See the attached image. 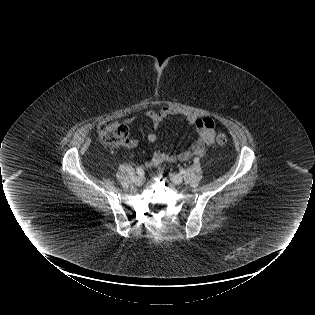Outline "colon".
Returning a JSON list of instances; mask_svg holds the SVG:
<instances>
[{"label":"colon","instance_id":"colon-1","mask_svg":"<svg viewBox=\"0 0 315 315\" xmlns=\"http://www.w3.org/2000/svg\"><path fill=\"white\" fill-rule=\"evenodd\" d=\"M98 134L102 143L111 149L123 147L129 137L128 128L117 121L101 123L98 127ZM215 141L217 145L224 146L227 144L228 138L225 134L220 133L216 136Z\"/></svg>","mask_w":315,"mask_h":315}]
</instances>
